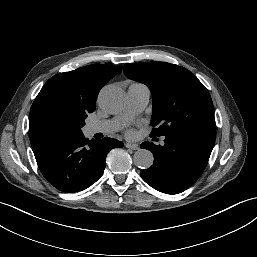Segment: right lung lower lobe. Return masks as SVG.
Listing matches in <instances>:
<instances>
[{
	"mask_svg": "<svg viewBox=\"0 0 257 257\" xmlns=\"http://www.w3.org/2000/svg\"><path fill=\"white\" fill-rule=\"evenodd\" d=\"M123 143L113 138L85 139L80 135H55L33 146L38 167L58 190L78 192L96 182L103 174L106 156Z\"/></svg>",
	"mask_w": 257,
	"mask_h": 257,
	"instance_id": "1",
	"label": "right lung lower lobe"
}]
</instances>
